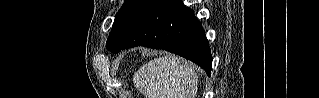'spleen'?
<instances>
[{"mask_svg": "<svg viewBox=\"0 0 319 98\" xmlns=\"http://www.w3.org/2000/svg\"><path fill=\"white\" fill-rule=\"evenodd\" d=\"M133 80L146 98H194L197 94L195 67L173 55L144 64Z\"/></svg>", "mask_w": 319, "mask_h": 98, "instance_id": "1", "label": "spleen"}]
</instances>
